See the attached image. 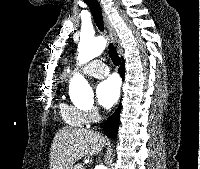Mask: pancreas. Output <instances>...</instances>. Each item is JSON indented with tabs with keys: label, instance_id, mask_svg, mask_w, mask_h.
Instances as JSON below:
<instances>
[{
	"label": "pancreas",
	"instance_id": "pancreas-1",
	"mask_svg": "<svg viewBox=\"0 0 200 169\" xmlns=\"http://www.w3.org/2000/svg\"><path fill=\"white\" fill-rule=\"evenodd\" d=\"M73 169H84V167L81 164H77L73 167Z\"/></svg>",
	"mask_w": 200,
	"mask_h": 169
}]
</instances>
